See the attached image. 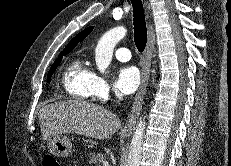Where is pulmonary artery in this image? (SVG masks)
<instances>
[{
    "label": "pulmonary artery",
    "mask_w": 231,
    "mask_h": 166,
    "mask_svg": "<svg viewBox=\"0 0 231 166\" xmlns=\"http://www.w3.org/2000/svg\"><path fill=\"white\" fill-rule=\"evenodd\" d=\"M115 56L119 61L125 62L131 58V53L127 48L121 47L115 51Z\"/></svg>",
    "instance_id": "pulmonary-artery-1"
}]
</instances>
